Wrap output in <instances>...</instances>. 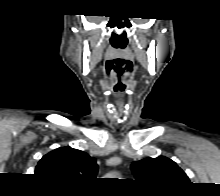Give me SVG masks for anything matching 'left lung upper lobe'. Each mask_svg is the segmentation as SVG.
<instances>
[{"mask_svg":"<svg viewBox=\"0 0 220 196\" xmlns=\"http://www.w3.org/2000/svg\"><path fill=\"white\" fill-rule=\"evenodd\" d=\"M131 169L139 182L160 189L177 190L190 183L185 172L164 156L134 162Z\"/></svg>","mask_w":220,"mask_h":196,"instance_id":"obj_1","label":"left lung upper lobe"}]
</instances>
